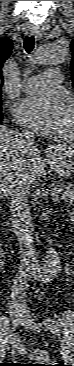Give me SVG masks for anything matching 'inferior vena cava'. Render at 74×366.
Instances as JSON below:
<instances>
[{
  "mask_svg": "<svg viewBox=\"0 0 74 366\" xmlns=\"http://www.w3.org/2000/svg\"><path fill=\"white\" fill-rule=\"evenodd\" d=\"M20 136V144L28 150L35 149L34 133L24 131ZM29 186L23 181H14L10 186V213L11 224L14 227L20 246L21 266L19 275L12 286V298L24 297L28 287L30 263H36V250L34 247V228L30 213L27 195Z\"/></svg>",
  "mask_w": 74,
  "mask_h": 366,
  "instance_id": "obj_1",
  "label": "inferior vena cava"
}]
</instances>
